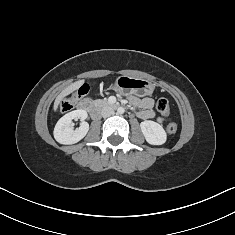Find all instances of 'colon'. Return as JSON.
<instances>
[{"label": "colon", "instance_id": "colon-1", "mask_svg": "<svg viewBox=\"0 0 235 235\" xmlns=\"http://www.w3.org/2000/svg\"><path fill=\"white\" fill-rule=\"evenodd\" d=\"M88 92L89 86L86 84L82 85L77 92L62 102L61 111L68 112L72 110L76 103L84 98ZM156 109L162 116H168L170 113L169 101L164 97L159 98L156 102ZM166 131L170 135L175 134L177 132V125L175 123H170L167 126Z\"/></svg>", "mask_w": 235, "mask_h": 235}]
</instances>
